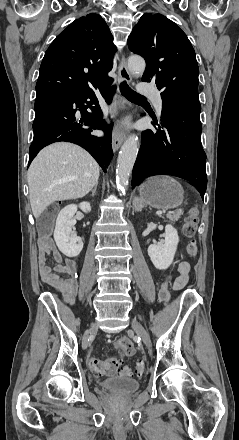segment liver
Segmentation results:
<instances>
[{"mask_svg":"<svg viewBox=\"0 0 239 440\" xmlns=\"http://www.w3.org/2000/svg\"><path fill=\"white\" fill-rule=\"evenodd\" d=\"M100 168L79 146L56 142L39 152L27 174L29 198L34 218L59 200L83 198L97 186ZM77 180L67 182L66 178Z\"/></svg>","mask_w":239,"mask_h":440,"instance_id":"liver-1","label":"liver"}]
</instances>
